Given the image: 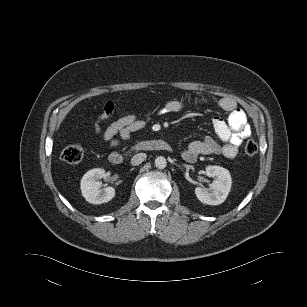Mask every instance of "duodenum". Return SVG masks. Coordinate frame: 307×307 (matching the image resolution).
Returning <instances> with one entry per match:
<instances>
[{"label": "duodenum", "instance_id": "duodenum-1", "mask_svg": "<svg viewBox=\"0 0 307 307\" xmlns=\"http://www.w3.org/2000/svg\"><path fill=\"white\" fill-rule=\"evenodd\" d=\"M169 149V144L163 140H145L133 145L126 153L112 152L109 155V161L114 166H120L124 163L128 154L137 152L167 151Z\"/></svg>", "mask_w": 307, "mask_h": 307}]
</instances>
